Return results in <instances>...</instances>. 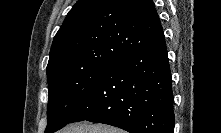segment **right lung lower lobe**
<instances>
[{
	"instance_id": "98d812e1",
	"label": "right lung lower lobe",
	"mask_w": 221,
	"mask_h": 133,
	"mask_svg": "<svg viewBox=\"0 0 221 133\" xmlns=\"http://www.w3.org/2000/svg\"><path fill=\"white\" fill-rule=\"evenodd\" d=\"M171 83L163 41L111 64L70 123L85 120L130 133H173Z\"/></svg>"
}]
</instances>
